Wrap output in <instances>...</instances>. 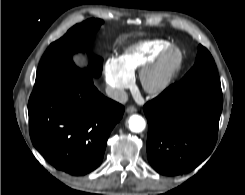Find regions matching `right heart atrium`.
<instances>
[{"label": "right heart atrium", "instance_id": "d8ad5b80", "mask_svg": "<svg viewBox=\"0 0 245 195\" xmlns=\"http://www.w3.org/2000/svg\"><path fill=\"white\" fill-rule=\"evenodd\" d=\"M103 74L109 93L115 100H122L125 91L132 85V77L121 67L115 58H108L103 67Z\"/></svg>", "mask_w": 245, "mask_h": 195}]
</instances>
